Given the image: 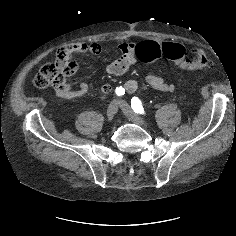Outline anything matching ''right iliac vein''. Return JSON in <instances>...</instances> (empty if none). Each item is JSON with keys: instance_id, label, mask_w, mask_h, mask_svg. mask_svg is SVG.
<instances>
[{"instance_id": "right-iliac-vein-1", "label": "right iliac vein", "mask_w": 236, "mask_h": 236, "mask_svg": "<svg viewBox=\"0 0 236 236\" xmlns=\"http://www.w3.org/2000/svg\"><path fill=\"white\" fill-rule=\"evenodd\" d=\"M118 111V103L116 101H113L109 104L107 108V119L108 121H112L115 114Z\"/></svg>"}]
</instances>
